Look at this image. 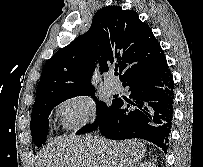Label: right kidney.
<instances>
[{"instance_id":"right-kidney-1","label":"right kidney","mask_w":203,"mask_h":167,"mask_svg":"<svg viewBox=\"0 0 203 167\" xmlns=\"http://www.w3.org/2000/svg\"><path fill=\"white\" fill-rule=\"evenodd\" d=\"M135 167H156L153 162H142Z\"/></svg>"}]
</instances>
